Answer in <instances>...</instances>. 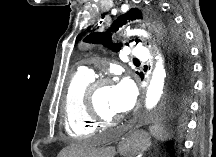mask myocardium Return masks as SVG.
<instances>
[{"mask_svg":"<svg viewBox=\"0 0 216 157\" xmlns=\"http://www.w3.org/2000/svg\"><path fill=\"white\" fill-rule=\"evenodd\" d=\"M109 79L107 77H100L92 80L85 90V105L88 116L97 125H110L120 120L118 118H107L100 114L96 105V95L99 90L109 86Z\"/></svg>","mask_w":216,"mask_h":157,"instance_id":"f54148a6","label":"myocardium"}]
</instances>
